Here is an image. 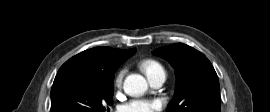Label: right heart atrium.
<instances>
[{
    "mask_svg": "<svg viewBox=\"0 0 270 112\" xmlns=\"http://www.w3.org/2000/svg\"><path fill=\"white\" fill-rule=\"evenodd\" d=\"M126 73V69H122L115 78V84L116 86H120L122 84L123 77Z\"/></svg>",
    "mask_w": 270,
    "mask_h": 112,
    "instance_id": "d8ad5b80",
    "label": "right heart atrium"
}]
</instances>
